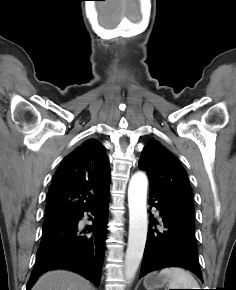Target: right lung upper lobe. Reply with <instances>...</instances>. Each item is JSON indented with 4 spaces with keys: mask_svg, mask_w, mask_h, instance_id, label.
I'll return each instance as SVG.
<instances>
[{
    "mask_svg": "<svg viewBox=\"0 0 236 290\" xmlns=\"http://www.w3.org/2000/svg\"><path fill=\"white\" fill-rule=\"evenodd\" d=\"M110 185L105 147L91 139L68 154L54 174L46 218H68L100 202Z\"/></svg>",
    "mask_w": 236,
    "mask_h": 290,
    "instance_id": "cb5924a9",
    "label": "right lung upper lobe"
}]
</instances>
